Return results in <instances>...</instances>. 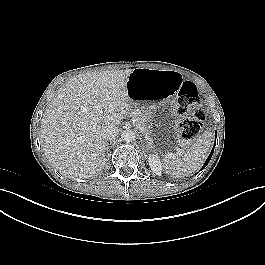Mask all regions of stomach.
Returning <instances> with one entry per match:
<instances>
[{
  "label": "stomach",
  "mask_w": 265,
  "mask_h": 265,
  "mask_svg": "<svg viewBox=\"0 0 265 265\" xmlns=\"http://www.w3.org/2000/svg\"><path fill=\"white\" fill-rule=\"evenodd\" d=\"M180 75L171 70L136 68L127 80L130 103L141 104V124L147 147L155 154L171 153L179 136L174 124Z\"/></svg>",
  "instance_id": "0dacf381"
}]
</instances>
